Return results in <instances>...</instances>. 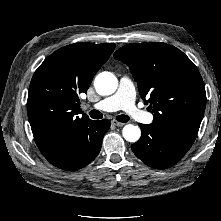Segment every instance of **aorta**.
<instances>
[{
    "label": "aorta",
    "instance_id": "762f6f07",
    "mask_svg": "<svg viewBox=\"0 0 221 221\" xmlns=\"http://www.w3.org/2000/svg\"><path fill=\"white\" fill-rule=\"evenodd\" d=\"M94 86L98 94L111 95L117 89L118 80L111 72H102L96 76ZM122 134L125 140L136 142L141 136V130L138 126L127 124L123 127Z\"/></svg>",
    "mask_w": 221,
    "mask_h": 221
}]
</instances>
